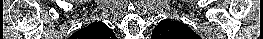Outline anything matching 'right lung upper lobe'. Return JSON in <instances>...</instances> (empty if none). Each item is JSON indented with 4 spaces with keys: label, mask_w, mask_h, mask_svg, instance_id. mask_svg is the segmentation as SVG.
Masks as SVG:
<instances>
[{
    "label": "right lung upper lobe",
    "mask_w": 263,
    "mask_h": 39,
    "mask_svg": "<svg viewBox=\"0 0 263 39\" xmlns=\"http://www.w3.org/2000/svg\"><path fill=\"white\" fill-rule=\"evenodd\" d=\"M75 37L81 39H113V31L102 22H94L87 27L74 33Z\"/></svg>",
    "instance_id": "right-lung-upper-lobe-1"
}]
</instances>
